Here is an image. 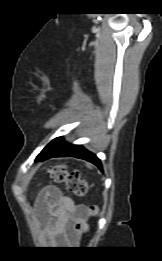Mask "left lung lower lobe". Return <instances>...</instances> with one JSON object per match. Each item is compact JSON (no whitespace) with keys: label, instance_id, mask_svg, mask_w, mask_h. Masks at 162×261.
<instances>
[{"label":"left lung lower lobe","instance_id":"1","mask_svg":"<svg viewBox=\"0 0 162 261\" xmlns=\"http://www.w3.org/2000/svg\"><path fill=\"white\" fill-rule=\"evenodd\" d=\"M52 157H76L80 159L87 160L94 165H96L100 170H102V165L97 156L81 145H73L64 142L62 139L59 143H57L53 148H51L42 158L41 160H47Z\"/></svg>","mask_w":162,"mask_h":261}]
</instances>
